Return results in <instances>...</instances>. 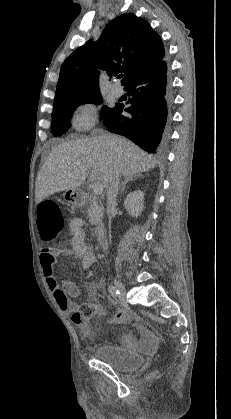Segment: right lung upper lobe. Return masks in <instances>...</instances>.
Returning <instances> with one entry per match:
<instances>
[{
	"instance_id": "obj_1",
	"label": "right lung upper lobe",
	"mask_w": 231,
	"mask_h": 419,
	"mask_svg": "<svg viewBox=\"0 0 231 419\" xmlns=\"http://www.w3.org/2000/svg\"><path fill=\"white\" fill-rule=\"evenodd\" d=\"M160 36L132 13L113 19L96 42L77 48L61 66L54 103L99 92V69L125 74L122 85L163 60Z\"/></svg>"
}]
</instances>
